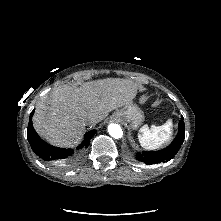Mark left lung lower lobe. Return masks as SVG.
<instances>
[{
  "instance_id": "1",
  "label": "left lung lower lobe",
  "mask_w": 221,
  "mask_h": 221,
  "mask_svg": "<svg viewBox=\"0 0 221 221\" xmlns=\"http://www.w3.org/2000/svg\"><path fill=\"white\" fill-rule=\"evenodd\" d=\"M178 128L179 132L176 138L167 148L157 152L137 153L136 159L147 165L158 164L160 162H168L169 160H171L177 154L184 141L185 127L183 117H181Z\"/></svg>"
}]
</instances>
